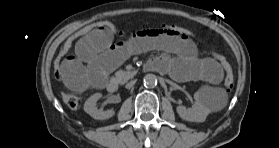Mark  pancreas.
Here are the masks:
<instances>
[{"mask_svg":"<svg viewBox=\"0 0 279 148\" xmlns=\"http://www.w3.org/2000/svg\"><path fill=\"white\" fill-rule=\"evenodd\" d=\"M136 74L135 71H123V70H119L115 73V77L116 79L120 82V83H125L126 81H128L130 78H132L134 75Z\"/></svg>","mask_w":279,"mask_h":148,"instance_id":"cf45deb5","label":"pancreas"}]
</instances>
